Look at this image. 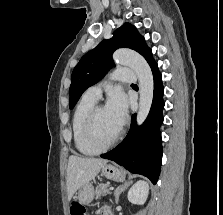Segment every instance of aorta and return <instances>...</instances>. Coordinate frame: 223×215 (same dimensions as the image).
<instances>
[{"instance_id": "762f6f07", "label": "aorta", "mask_w": 223, "mask_h": 215, "mask_svg": "<svg viewBox=\"0 0 223 215\" xmlns=\"http://www.w3.org/2000/svg\"><path fill=\"white\" fill-rule=\"evenodd\" d=\"M113 58L115 62L132 68L137 74L140 94L137 123L140 125V123H143L144 119H146L152 106L154 80L151 68L148 66L143 56H140L137 52H133V50H126V48L116 50L113 54Z\"/></svg>"}]
</instances>
